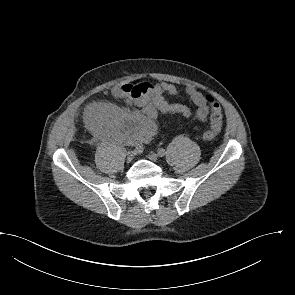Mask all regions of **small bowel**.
Here are the masks:
<instances>
[{"mask_svg":"<svg viewBox=\"0 0 295 295\" xmlns=\"http://www.w3.org/2000/svg\"><path fill=\"white\" fill-rule=\"evenodd\" d=\"M186 94L196 106L198 120L206 121L210 116L209 132L216 136L222 129V118L219 121L211 120L208 96L191 86L186 88ZM112 95L126 100L138 110L130 112L107 102H96L86 107L84 119L97 134L118 143H138L150 139L156 132L155 117L158 111L184 117L191 115L187 106L171 104L165 99V96L178 95L177 88L168 82L126 83L115 86Z\"/></svg>","mask_w":295,"mask_h":295,"instance_id":"c3829d8e","label":"small bowel"}]
</instances>
